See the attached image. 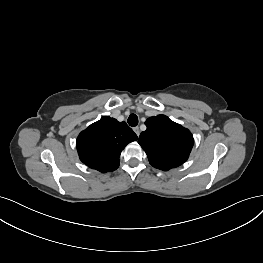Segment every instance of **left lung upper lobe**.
I'll return each instance as SVG.
<instances>
[{"instance_id":"left-lung-upper-lobe-1","label":"left lung upper lobe","mask_w":263,"mask_h":263,"mask_svg":"<svg viewBox=\"0 0 263 263\" xmlns=\"http://www.w3.org/2000/svg\"><path fill=\"white\" fill-rule=\"evenodd\" d=\"M145 125L147 129L140 134L138 143L153 167L167 171L188 159L194 144L188 129L165 115L150 117Z\"/></svg>"}]
</instances>
